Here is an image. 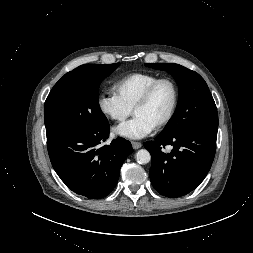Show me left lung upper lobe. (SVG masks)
I'll return each mask as SVG.
<instances>
[{
  "label": "left lung upper lobe",
  "mask_w": 253,
  "mask_h": 253,
  "mask_svg": "<svg viewBox=\"0 0 253 253\" xmlns=\"http://www.w3.org/2000/svg\"><path fill=\"white\" fill-rule=\"evenodd\" d=\"M145 66L170 73L179 87L177 109L160 136L201 129L217 132L218 113L204 79L196 72L174 63H146Z\"/></svg>",
  "instance_id": "left-lung-upper-lobe-1"
}]
</instances>
